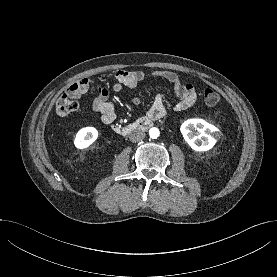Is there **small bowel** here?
<instances>
[{
    "label": "small bowel",
    "mask_w": 277,
    "mask_h": 277,
    "mask_svg": "<svg viewBox=\"0 0 277 277\" xmlns=\"http://www.w3.org/2000/svg\"><path fill=\"white\" fill-rule=\"evenodd\" d=\"M147 77H160L173 84L174 92L179 101L175 104V111H184L192 107L197 100V91L191 83H183L180 81L177 74L167 70H156L146 73L140 70L137 71H116L112 78L114 80L113 90L121 92L123 89H131ZM90 86V80L83 79ZM73 85V84H72ZM71 85V86H72ZM70 86V87H71ZM98 94L93 98L92 109L100 115L101 121L109 125L116 118L113 104L108 99V88L105 85H97ZM69 89V88H68ZM79 97V96H78ZM133 104L140 105L141 98L135 97L132 100ZM167 108L163 101L162 95L157 94L149 109L148 116L154 120L161 119L167 115Z\"/></svg>",
    "instance_id": "obj_1"
}]
</instances>
